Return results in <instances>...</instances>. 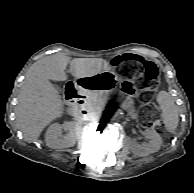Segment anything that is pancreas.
I'll return each mask as SVG.
<instances>
[{"mask_svg": "<svg viewBox=\"0 0 194 193\" xmlns=\"http://www.w3.org/2000/svg\"><path fill=\"white\" fill-rule=\"evenodd\" d=\"M98 101H103L107 103H112L120 106L129 116L134 117L137 110L131 99H128L127 95L121 93H105L96 96Z\"/></svg>", "mask_w": 194, "mask_h": 193, "instance_id": "1", "label": "pancreas"}]
</instances>
